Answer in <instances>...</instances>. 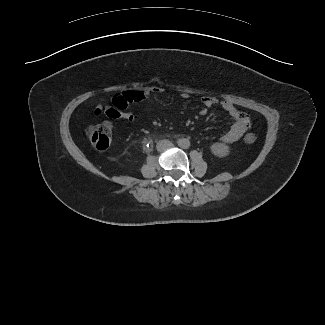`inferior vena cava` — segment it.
I'll list each match as a JSON object with an SVG mask.
<instances>
[{"mask_svg": "<svg viewBox=\"0 0 325 325\" xmlns=\"http://www.w3.org/2000/svg\"><path fill=\"white\" fill-rule=\"evenodd\" d=\"M173 144H172V142H170L169 140H161V141H159L158 142V144H157V146H156V148H157V150L158 151H164V150H166L167 148H169V147H171Z\"/></svg>", "mask_w": 325, "mask_h": 325, "instance_id": "obj_1", "label": "inferior vena cava"}]
</instances>
